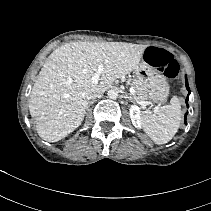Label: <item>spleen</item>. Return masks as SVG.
Wrapping results in <instances>:
<instances>
[{
    "label": "spleen",
    "mask_w": 211,
    "mask_h": 211,
    "mask_svg": "<svg viewBox=\"0 0 211 211\" xmlns=\"http://www.w3.org/2000/svg\"><path fill=\"white\" fill-rule=\"evenodd\" d=\"M142 127L145 133L158 145L169 142L177 133L181 122L179 98L174 96L171 103L151 113L142 114Z\"/></svg>",
    "instance_id": "obj_1"
}]
</instances>
